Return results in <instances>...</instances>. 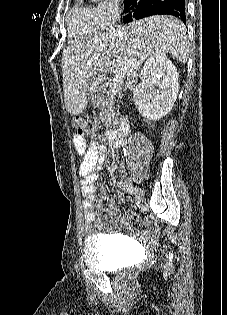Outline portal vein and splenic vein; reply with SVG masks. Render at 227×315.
Wrapping results in <instances>:
<instances>
[{
	"instance_id": "1",
	"label": "portal vein and splenic vein",
	"mask_w": 227,
	"mask_h": 315,
	"mask_svg": "<svg viewBox=\"0 0 227 315\" xmlns=\"http://www.w3.org/2000/svg\"><path fill=\"white\" fill-rule=\"evenodd\" d=\"M114 74H115V78H114V87H112V91H115L116 88V84L121 83L123 81V79L125 78V72L122 70H118L116 68H114Z\"/></svg>"
}]
</instances>
